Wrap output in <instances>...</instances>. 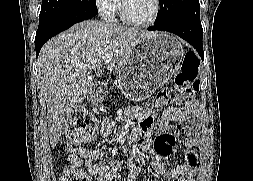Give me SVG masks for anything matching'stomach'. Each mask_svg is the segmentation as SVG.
Listing matches in <instances>:
<instances>
[{
  "label": "stomach",
  "instance_id": "1",
  "mask_svg": "<svg viewBox=\"0 0 253 181\" xmlns=\"http://www.w3.org/2000/svg\"><path fill=\"white\" fill-rule=\"evenodd\" d=\"M184 57L178 39L167 33H155L132 49L117 72V86L131 100L146 99L176 74Z\"/></svg>",
  "mask_w": 253,
  "mask_h": 181
}]
</instances>
